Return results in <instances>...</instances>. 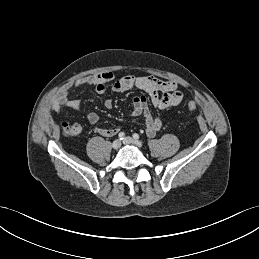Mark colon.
<instances>
[{
    "label": "colon",
    "instance_id": "colon-1",
    "mask_svg": "<svg viewBox=\"0 0 259 259\" xmlns=\"http://www.w3.org/2000/svg\"><path fill=\"white\" fill-rule=\"evenodd\" d=\"M197 108V104L194 101H190L187 104V109L189 111H195ZM63 133L67 136L75 135L77 133L76 125L63 124L62 125Z\"/></svg>",
    "mask_w": 259,
    "mask_h": 259
}]
</instances>
